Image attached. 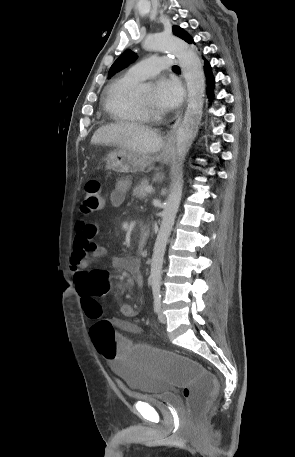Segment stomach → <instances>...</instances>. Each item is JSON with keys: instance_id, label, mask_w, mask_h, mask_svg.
<instances>
[{"instance_id": "stomach-1", "label": "stomach", "mask_w": 295, "mask_h": 457, "mask_svg": "<svg viewBox=\"0 0 295 457\" xmlns=\"http://www.w3.org/2000/svg\"><path fill=\"white\" fill-rule=\"evenodd\" d=\"M170 154L160 153L156 157L139 155L127 149L118 148L110 151L106 156V168L118 173H136L142 171L154 160L168 163Z\"/></svg>"}]
</instances>
